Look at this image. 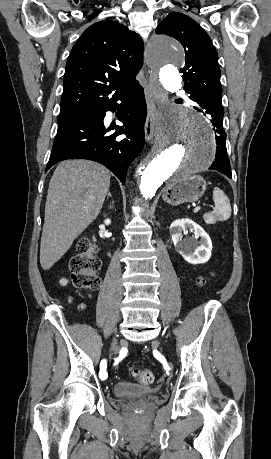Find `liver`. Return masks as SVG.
Instances as JSON below:
<instances>
[{"label":"liver","mask_w":271,"mask_h":459,"mask_svg":"<svg viewBox=\"0 0 271 459\" xmlns=\"http://www.w3.org/2000/svg\"><path fill=\"white\" fill-rule=\"evenodd\" d=\"M110 172L90 160H65L49 184L40 263L50 269L75 237L96 220L110 186Z\"/></svg>","instance_id":"6515ba94"}]
</instances>
